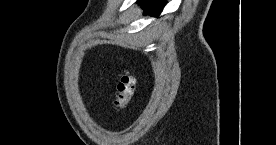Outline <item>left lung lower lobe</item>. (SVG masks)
<instances>
[{
	"label": "left lung lower lobe",
	"instance_id": "1",
	"mask_svg": "<svg viewBox=\"0 0 276 145\" xmlns=\"http://www.w3.org/2000/svg\"><path fill=\"white\" fill-rule=\"evenodd\" d=\"M138 3L144 8L145 15L159 16L164 7L165 0H138Z\"/></svg>",
	"mask_w": 276,
	"mask_h": 145
}]
</instances>
